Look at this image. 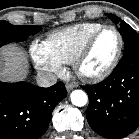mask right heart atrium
I'll use <instances>...</instances> for the list:
<instances>
[{
	"label": "right heart atrium",
	"mask_w": 139,
	"mask_h": 139,
	"mask_svg": "<svg viewBox=\"0 0 139 139\" xmlns=\"http://www.w3.org/2000/svg\"><path fill=\"white\" fill-rule=\"evenodd\" d=\"M31 57L36 67L46 73L61 74L63 72L62 63L59 62L46 48L42 42H34L30 47Z\"/></svg>",
	"instance_id": "obj_1"
}]
</instances>
